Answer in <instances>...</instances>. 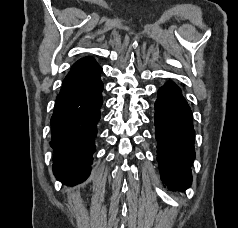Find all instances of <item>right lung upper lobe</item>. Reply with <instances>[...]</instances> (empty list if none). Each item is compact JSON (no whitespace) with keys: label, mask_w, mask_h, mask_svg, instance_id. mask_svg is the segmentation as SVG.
Listing matches in <instances>:
<instances>
[{"label":"right lung upper lobe","mask_w":238,"mask_h":228,"mask_svg":"<svg viewBox=\"0 0 238 228\" xmlns=\"http://www.w3.org/2000/svg\"><path fill=\"white\" fill-rule=\"evenodd\" d=\"M101 71V67L93 58H82L72 66L70 72L65 77L62 85L89 80L92 77L99 75Z\"/></svg>","instance_id":"cb5924a9"}]
</instances>
